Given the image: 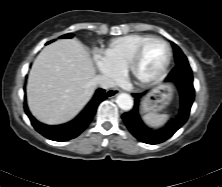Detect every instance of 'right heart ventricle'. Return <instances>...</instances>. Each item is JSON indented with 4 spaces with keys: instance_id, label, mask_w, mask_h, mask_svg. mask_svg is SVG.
Segmentation results:
<instances>
[{
    "instance_id": "right-heart-ventricle-1",
    "label": "right heart ventricle",
    "mask_w": 222,
    "mask_h": 187,
    "mask_svg": "<svg viewBox=\"0 0 222 187\" xmlns=\"http://www.w3.org/2000/svg\"><path fill=\"white\" fill-rule=\"evenodd\" d=\"M148 38L150 36L141 34L114 38L102 49V56L120 72L125 71L137 47Z\"/></svg>"
}]
</instances>
